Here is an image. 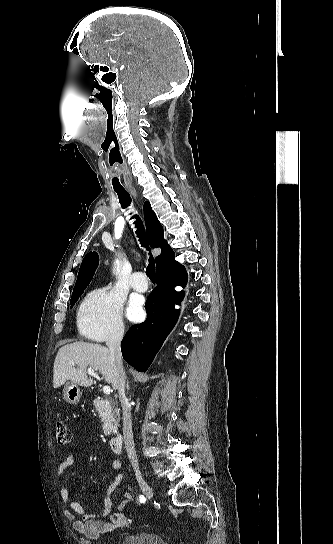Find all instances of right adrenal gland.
Returning a JSON list of instances; mask_svg holds the SVG:
<instances>
[{"instance_id": "1", "label": "right adrenal gland", "mask_w": 333, "mask_h": 544, "mask_svg": "<svg viewBox=\"0 0 333 544\" xmlns=\"http://www.w3.org/2000/svg\"><path fill=\"white\" fill-rule=\"evenodd\" d=\"M126 387H127V390L130 389V387H129V381H128V380H127V385H126Z\"/></svg>"}]
</instances>
